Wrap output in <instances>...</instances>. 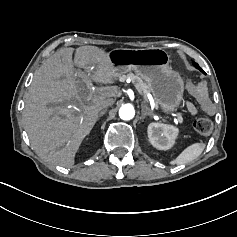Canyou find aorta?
<instances>
[{"mask_svg": "<svg viewBox=\"0 0 237 237\" xmlns=\"http://www.w3.org/2000/svg\"><path fill=\"white\" fill-rule=\"evenodd\" d=\"M135 116L134 108L131 105H122L119 109V117L124 121H129Z\"/></svg>", "mask_w": 237, "mask_h": 237, "instance_id": "762f6f07", "label": "aorta"}]
</instances>
